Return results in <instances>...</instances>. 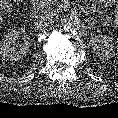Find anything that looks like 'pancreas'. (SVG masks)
I'll return each mask as SVG.
<instances>
[{
	"label": "pancreas",
	"instance_id": "1",
	"mask_svg": "<svg viewBox=\"0 0 118 118\" xmlns=\"http://www.w3.org/2000/svg\"><path fill=\"white\" fill-rule=\"evenodd\" d=\"M34 3L37 5V8L43 10L44 13H48L52 9L51 0H34ZM87 12L104 27H109L111 25V20L109 19L107 13L99 10L96 6H89Z\"/></svg>",
	"mask_w": 118,
	"mask_h": 118
}]
</instances>
